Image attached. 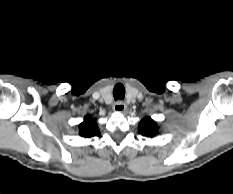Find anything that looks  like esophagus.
<instances>
[{"mask_svg": "<svg viewBox=\"0 0 233 194\" xmlns=\"http://www.w3.org/2000/svg\"><path fill=\"white\" fill-rule=\"evenodd\" d=\"M113 109L115 112H119L122 113L126 110V104L122 101H117L114 106Z\"/></svg>", "mask_w": 233, "mask_h": 194, "instance_id": "esophagus-1", "label": "esophagus"}]
</instances>
